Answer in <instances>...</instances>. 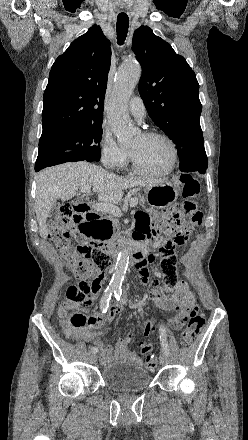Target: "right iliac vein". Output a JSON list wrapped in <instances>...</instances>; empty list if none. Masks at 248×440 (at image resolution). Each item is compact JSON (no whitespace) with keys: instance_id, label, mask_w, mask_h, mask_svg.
Masks as SVG:
<instances>
[{"instance_id":"right-iliac-vein-1","label":"right iliac vein","mask_w":248,"mask_h":440,"mask_svg":"<svg viewBox=\"0 0 248 440\" xmlns=\"http://www.w3.org/2000/svg\"><path fill=\"white\" fill-rule=\"evenodd\" d=\"M96 358H97L96 353H92V354L90 355V361H91L92 363H94V362L96 361Z\"/></svg>"}]
</instances>
